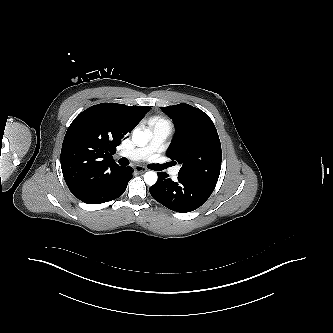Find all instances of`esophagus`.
Segmentation results:
<instances>
[{
	"label": "esophagus",
	"instance_id": "esophagus-1",
	"mask_svg": "<svg viewBox=\"0 0 333 333\" xmlns=\"http://www.w3.org/2000/svg\"><path fill=\"white\" fill-rule=\"evenodd\" d=\"M134 171L138 172V173H144L147 171V169L145 167L142 166H134Z\"/></svg>",
	"mask_w": 333,
	"mask_h": 333
}]
</instances>
